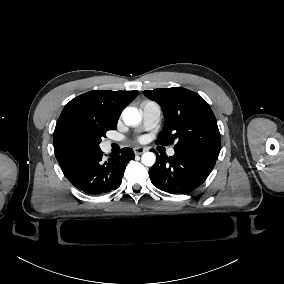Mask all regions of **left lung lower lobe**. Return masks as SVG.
<instances>
[{
	"mask_svg": "<svg viewBox=\"0 0 284 284\" xmlns=\"http://www.w3.org/2000/svg\"><path fill=\"white\" fill-rule=\"evenodd\" d=\"M215 163L213 158L198 152L175 150L170 157L157 154L149 176L158 189L171 194H187L206 180Z\"/></svg>",
	"mask_w": 284,
	"mask_h": 284,
	"instance_id": "0a47b994",
	"label": "left lung lower lobe"
}]
</instances>
